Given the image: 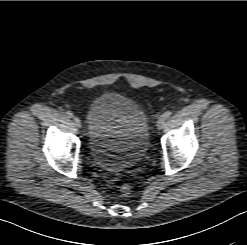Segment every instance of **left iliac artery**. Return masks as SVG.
Returning a JSON list of instances; mask_svg holds the SVG:
<instances>
[{
    "instance_id": "left-iliac-artery-1",
    "label": "left iliac artery",
    "mask_w": 247,
    "mask_h": 245,
    "mask_svg": "<svg viewBox=\"0 0 247 245\" xmlns=\"http://www.w3.org/2000/svg\"><path fill=\"white\" fill-rule=\"evenodd\" d=\"M171 114H172L171 111H166V112L162 115V118H163L164 120H167V119L170 117Z\"/></svg>"
}]
</instances>
